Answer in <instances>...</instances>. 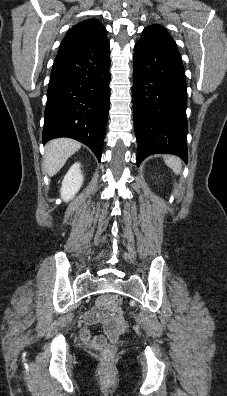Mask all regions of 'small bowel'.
I'll use <instances>...</instances> for the list:
<instances>
[{
	"label": "small bowel",
	"instance_id": "obj_1",
	"mask_svg": "<svg viewBox=\"0 0 227 396\" xmlns=\"http://www.w3.org/2000/svg\"><path fill=\"white\" fill-rule=\"evenodd\" d=\"M85 321L87 324L102 323L106 337L111 342L116 341L127 329L121 312L112 305V299L108 295L97 299L96 305L85 314ZM80 336L83 342L98 348L107 341L104 335H93L88 327L81 329Z\"/></svg>",
	"mask_w": 227,
	"mask_h": 396
}]
</instances>
